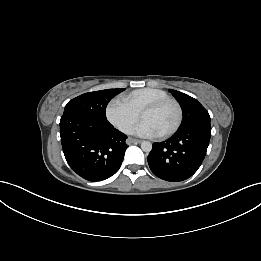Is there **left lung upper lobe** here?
<instances>
[{"label": "left lung upper lobe", "mask_w": 261, "mask_h": 261, "mask_svg": "<svg viewBox=\"0 0 261 261\" xmlns=\"http://www.w3.org/2000/svg\"><path fill=\"white\" fill-rule=\"evenodd\" d=\"M180 103L183 111V122L180 128H185L199 123H210L208 111L193 97L176 91L169 90Z\"/></svg>", "instance_id": "obj_1"}]
</instances>
